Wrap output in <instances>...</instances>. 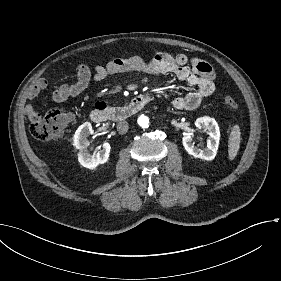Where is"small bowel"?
Here are the masks:
<instances>
[{"label":"small bowel","mask_w":281,"mask_h":281,"mask_svg":"<svg viewBox=\"0 0 281 281\" xmlns=\"http://www.w3.org/2000/svg\"><path fill=\"white\" fill-rule=\"evenodd\" d=\"M139 71L147 74L170 73L178 79L185 81L194 90L190 93L173 99L172 105L176 110H194L203 99L210 96L215 89L216 73L206 61L189 57L183 53L169 54L160 52L148 59L140 56H131L123 59H114L105 65H97L94 69V79L104 80L108 75ZM91 80L90 69L86 65L77 67V80L72 84H62L52 93L56 102H63L69 98L80 95L89 85ZM46 87L43 79L38 80L28 92L30 99L35 98ZM26 116L29 120L39 117L34 107H26Z\"/></svg>","instance_id":"c3829d8e"}]
</instances>
